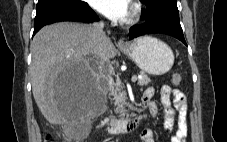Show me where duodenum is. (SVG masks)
I'll use <instances>...</instances> for the list:
<instances>
[{"mask_svg":"<svg viewBox=\"0 0 227 142\" xmlns=\"http://www.w3.org/2000/svg\"><path fill=\"white\" fill-rule=\"evenodd\" d=\"M140 119V116L112 119L107 125V131L110 134L131 133L138 127Z\"/></svg>","mask_w":227,"mask_h":142,"instance_id":"obj_1","label":"duodenum"}]
</instances>
